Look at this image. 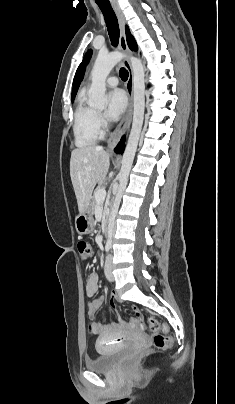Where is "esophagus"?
Wrapping results in <instances>:
<instances>
[{"label": "esophagus", "instance_id": "obj_1", "mask_svg": "<svg viewBox=\"0 0 235 404\" xmlns=\"http://www.w3.org/2000/svg\"><path fill=\"white\" fill-rule=\"evenodd\" d=\"M112 7L118 18L119 27H120L119 45H120V49L125 54V58L123 60V65L126 68V70L128 71V79L126 82L128 105H127L126 111H125L120 123L117 125L116 129L111 133V135L108 139V152L113 151L115 146L120 141L121 136L127 129L128 125L130 123V120H131L132 107H133V70H132V66H131L129 58H128V55L130 54V49L128 47L127 40H126V34H125L126 19H125L122 9L120 8V6L117 3H112Z\"/></svg>", "mask_w": 235, "mask_h": 404}]
</instances>
